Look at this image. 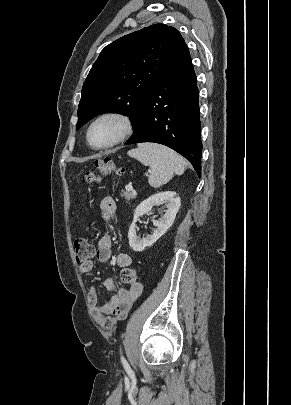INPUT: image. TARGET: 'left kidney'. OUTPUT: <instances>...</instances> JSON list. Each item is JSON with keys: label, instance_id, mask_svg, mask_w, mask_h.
<instances>
[{"label": "left kidney", "instance_id": "1", "mask_svg": "<svg viewBox=\"0 0 291 405\" xmlns=\"http://www.w3.org/2000/svg\"><path fill=\"white\" fill-rule=\"evenodd\" d=\"M161 203H165L167 207L164 216L159 220L153 219L156 229L151 235L141 239L136 234V222L138 218L150 212L155 205ZM180 205V197L177 196L176 192L172 191L154 194L141 202L135 209L133 222L129 227L128 239L130 247L136 252H141L146 247L152 246L172 226Z\"/></svg>", "mask_w": 291, "mask_h": 405}]
</instances>
